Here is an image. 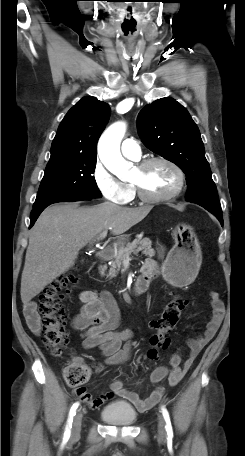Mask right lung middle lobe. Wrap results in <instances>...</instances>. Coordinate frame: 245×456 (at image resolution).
Returning <instances> with one entry per match:
<instances>
[{
	"label": "right lung middle lobe",
	"instance_id": "dd1d6c3e",
	"mask_svg": "<svg viewBox=\"0 0 245 456\" xmlns=\"http://www.w3.org/2000/svg\"><path fill=\"white\" fill-rule=\"evenodd\" d=\"M95 167V156L48 163L33 208L69 199L102 197L92 176Z\"/></svg>",
	"mask_w": 245,
	"mask_h": 456
}]
</instances>
